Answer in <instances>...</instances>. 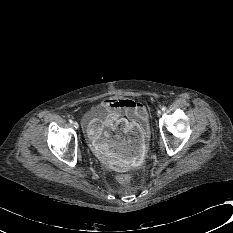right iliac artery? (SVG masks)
<instances>
[{"instance_id": "1", "label": "right iliac artery", "mask_w": 233, "mask_h": 233, "mask_svg": "<svg viewBox=\"0 0 233 233\" xmlns=\"http://www.w3.org/2000/svg\"><path fill=\"white\" fill-rule=\"evenodd\" d=\"M69 122H70V123H73V121H72L71 119L69 120Z\"/></svg>"}]
</instances>
